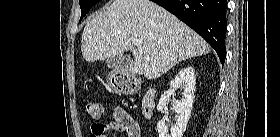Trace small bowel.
I'll list each match as a JSON object with an SVG mask.
<instances>
[{"mask_svg": "<svg viewBox=\"0 0 280 137\" xmlns=\"http://www.w3.org/2000/svg\"><path fill=\"white\" fill-rule=\"evenodd\" d=\"M126 117L128 116L123 109H113V120L92 124L90 137H107L108 130H116L125 133L127 137H140L139 131L136 135L131 134L129 127L125 123Z\"/></svg>", "mask_w": 280, "mask_h": 137, "instance_id": "small-bowel-1", "label": "small bowel"}]
</instances>
